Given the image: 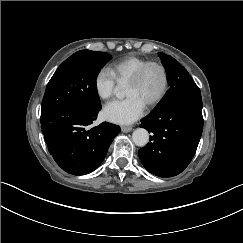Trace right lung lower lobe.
<instances>
[{"instance_id": "obj_1", "label": "right lung lower lobe", "mask_w": 243, "mask_h": 243, "mask_svg": "<svg viewBox=\"0 0 243 243\" xmlns=\"http://www.w3.org/2000/svg\"><path fill=\"white\" fill-rule=\"evenodd\" d=\"M100 108L66 105L41 115V128L56 163L73 175L94 171L105 158L120 127L103 122L88 130Z\"/></svg>"}]
</instances>
